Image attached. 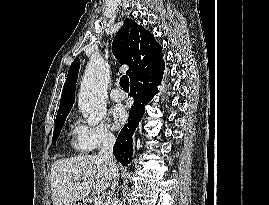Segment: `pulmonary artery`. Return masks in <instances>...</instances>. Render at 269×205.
I'll use <instances>...</instances> for the list:
<instances>
[{"label": "pulmonary artery", "mask_w": 269, "mask_h": 205, "mask_svg": "<svg viewBox=\"0 0 269 205\" xmlns=\"http://www.w3.org/2000/svg\"><path fill=\"white\" fill-rule=\"evenodd\" d=\"M110 96L114 101H122L125 99V93L120 88L113 89L110 93Z\"/></svg>", "instance_id": "e3ab8cb5"}]
</instances>
